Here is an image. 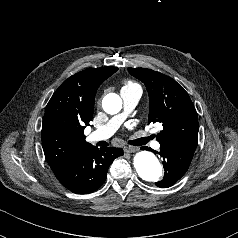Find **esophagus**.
I'll return each mask as SVG.
<instances>
[{"instance_id":"esophagus-1","label":"esophagus","mask_w":238,"mask_h":238,"mask_svg":"<svg viewBox=\"0 0 238 238\" xmlns=\"http://www.w3.org/2000/svg\"><path fill=\"white\" fill-rule=\"evenodd\" d=\"M139 149L137 147H134V146H126L124 148V151L126 153H134V152H137Z\"/></svg>"}]
</instances>
